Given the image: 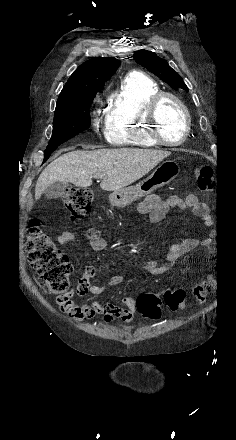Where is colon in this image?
<instances>
[{
  "instance_id": "obj_1",
  "label": "colon",
  "mask_w": 236,
  "mask_h": 440,
  "mask_svg": "<svg viewBox=\"0 0 236 440\" xmlns=\"http://www.w3.org/2000/svg\"><path fill=\"white\" fill-rule=\"evenodd\" d=\"M197 185L201 191H210L213 188V170L210 166L201 163L195 164ZM92 193L85 188H68L63 195V202L73 218L81 220L91 208ZM94 235V232H90ZM27 258L29 264L37 273L39 284L56 296L59 306L62 308L72 299L69 276L72 265L67 255L58 248L53 240L42 231L39 221L30 220L27 229L26 242ZM224 276H202L200 282L193 288V299L197 304L206 301L208 292L207 285H221ZM171 311L177 312L186 308V292L183 289H168L163 297L152 293H144L136 299L138 312L150 320H158L161 317L162 305Z\"/></svg>"
}]
</instances>
